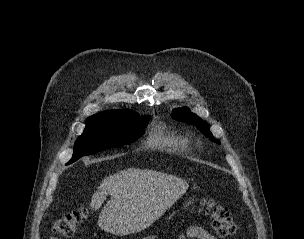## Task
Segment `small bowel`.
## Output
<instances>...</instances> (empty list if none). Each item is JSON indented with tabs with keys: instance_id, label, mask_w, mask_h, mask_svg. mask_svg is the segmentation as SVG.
<instances>
[{
	"instance_id": "small-bowel-1",
	"label": "small bowel",
	"mask_w": 304,
	"mask_h": 239,
	"mask_svg": "<svg viewBox=\"0 0 304 239\" xmlns=\"http://www.w3.org/2000/svg\"><path fill=\"white\" fill-rule=\"evenodd\" d=\"M217 239L214 235L210 234L207 230L200 226H190L185 234H180L177 239ZM50 239H58L57 237H51Z\"/></svg>"
}]
</instances>
